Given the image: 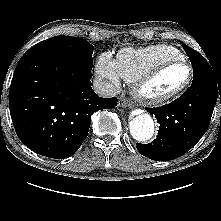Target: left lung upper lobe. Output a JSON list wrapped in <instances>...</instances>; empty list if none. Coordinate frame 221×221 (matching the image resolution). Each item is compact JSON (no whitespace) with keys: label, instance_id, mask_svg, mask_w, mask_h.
<instances>
[{"label":"left lung upper lobe","instance_id":"left-lung-upper-lobe-1","mask_svg":"<svg viewBox=\"0 0 221 221\" xmlns=\"http://www.w3.org/2000/svg\"><path fill=\"white\" fill-rule=\"evenodd\" d=\"M183 47L193 66V80L215 73L214 69L212 70L213 67L209 65L207 60L200 53L187 45H183Z\"/></svg>","mask_w":221,"mask_h":221}]
</instances>
